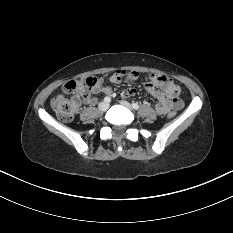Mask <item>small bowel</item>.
Here are the masks:
<instances>
[{
  "label": "small bowel",
  "instance_id": "small-bowel-1",
  "mask_svg": "<svg viewBox=\"0 0 233 233\" xmlns=\"http://www.w3.org/2000/svg\"><path fill=\"white\" fill-rule=\"evenodd\" d=\"M122 80L123 78L118 73H114L109 77V81L112 84H118ZM145 88L157 99L155 110L159 115H166L171 110H179L182 108L183 103L178 97L180 88L172 79L164 75H153L152 78L146 81ZM93 92L110 93L111 88L104 86V79L99 78ZM135 92L134 88H129L125 91L124 95L127 97L133 96ZM95 101L96 98L91 94L84 96V102L86 104L92 105Z\"/></svg>",
  "mask_w": 233,
  "mask_h": 233
}]
</instances>
